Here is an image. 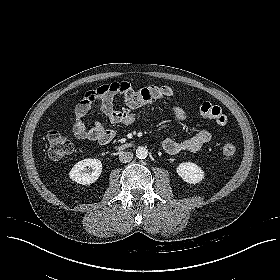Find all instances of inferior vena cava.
<instances>
[{
	"label": "inferior vena cava",
	"instance_id": "inferior-vena-cava-1",
	"mask_svg": "<svg viewBox=\"0 0 280 280\" xmlns=\"http://www.w3.org/2000/svg\"><path fill=\"white\" fill-rule=\"evenodd\" d=\"M132 158H133V153L131 152L123 151L119 153L120 162L128 163L132 160Z\"/></svg>",
	"mask_w": 280,
	"mask_h": 280
}]
</instances>
